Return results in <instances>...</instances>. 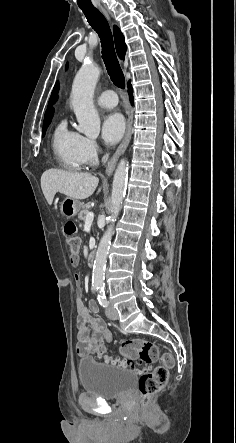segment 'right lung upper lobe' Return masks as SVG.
Segmentation results:
<instances>
[{
  "label": "right lung upper lobe",
  "instance_id": "right-lung-upper-lobe-1",
  "mask_svg": "<svg viewBox=\"0 0 236 443\" xmlns=\"http://www.w3.org/2000/svg\"><path fill=\"white\" fill-rule=\"evenodd\" d=\"M113 32H114V40H115V47H116L117 54L120 57V59H124L125 52L127 49L126 44H125V40H124V36L117 26H114ZM58 88H59L58 83H56V85L52 91L49 103H48V109L45 112L44 122L52 119L53 112H54V108L52 107V105L57 101Z\"/></svg>",
  "mask_w": 236,
  "mask_h": 443
}]
</instances>
